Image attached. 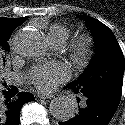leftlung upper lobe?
Returning a JSON list of instances; mask_svg holds the SVG:
<instances>
[{"mask_svg": "<svg viewBox=\"0 0 125 125\" xmlns=\"http://www.w3.org/2000/svg\"><path fill=\"white\" fill-rule=\"evenodd\" d=\"M95 38V55L78 80L67 85L76 94L88 96L122 92L124 56L112 31L99 20L85 16Z\"/></svg>", "mask_w": 125, "mask_h": 125, "instance_id": "left-lung-upper-lobe-1", "label": "left lung upper lobe"}]
</instances>
